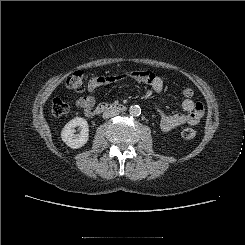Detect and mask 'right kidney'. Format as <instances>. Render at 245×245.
<instances>
[{
	"label": "right kidney",
	"mask_w": 245,
	"mask_h": 245,
	"mask_svg": "<svg viewBox=\"0 0 245 245\" xmlns=\"http://www.w3.org/2000/svg\"><path fill=\"white\" fill-rule=\"evenodd\" d=\"M81 129L80 134H75V128ZM61 138L63 142L73 149L83 147L89 139V126L84 118L76 117L70 120L62 129Z\"/></svg>",
	"instance_id": "obj_1"
}]
</instances>
